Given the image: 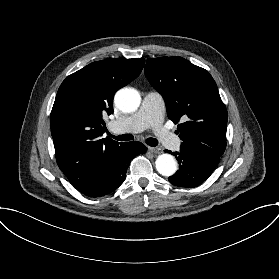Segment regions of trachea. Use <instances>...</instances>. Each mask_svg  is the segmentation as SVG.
<instances>
[{
	"label": "trachea",
	"instance_id": "1",
	"mask_svg": "<svg viewBox=\"0 0 279 279\" xmlns=\"http://www.w3.org/2000/svg\"><path fill=\"white\" fill-rule=\"evenodd\" d=\"M111 137L116 139V140H119V141H128V140H132L133 139V135H131V134H123V135H119V136L111 135ZM146 143L149 146H157L159 142H158L157 139L148 138L146 140Z\"/></svg>",
	"mask_w": 279,
	"mask_h": 279
}]
</instances>
